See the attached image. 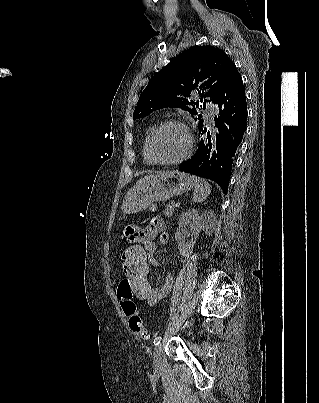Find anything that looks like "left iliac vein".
Instances as JSON below:
<instances>
[{"instance_id":"1","label":"left iliac vein","mask_w":319,"mask_h":403,"mask_svg":"<svg viewBox=\"0 0 319 403\" xmlns=\"http://www.w3.org/2000/svg\"><path fill=\"white\" fill-rule=\"evenodd\" d=\"M162 351H163V343H159L153 352V362L154 366L157 370L161 368L162 363Z\"/></svg>"}]
</instances>
